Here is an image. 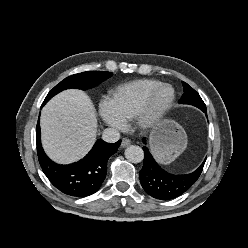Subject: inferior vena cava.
I'll return each mask as SVG.
<instances>
[{"label": "inferior vena cava", "mask_w": 248, "mask_h": 248, "mask_svg": "<svg viewBox=\"0 0 248 248\" xmlns=\"http://www.w3.org/2000/svg\"><path fill=\"white\" fill-rule=\"evenodd\" d=\"M102 138L105 142L115 143L120 139V133L117 129L107 128L104 130Z\"/></svg>", "instance_id": "obj_1"}]
</instances>
